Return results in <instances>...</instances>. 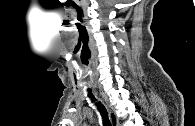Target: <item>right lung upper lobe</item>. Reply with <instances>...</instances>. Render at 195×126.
Segmentation results:
<instances>
[{
	"mask_svg": "<svg viewBox=\"0 0 195 126\" xmlns=\"http://www.w3.org/2000/svg\"><path fill=\"white\" fill-rule=\"evenodd\" d=\"M112 120H113V123L114 125L116 124V120H115V117L112 115Z\"/></svg>",
	"mask_w": 195,
	"mask_h": 126,
	"instance_id": "1",
	"label": "right lung upper lobe"
}]
</instances>
